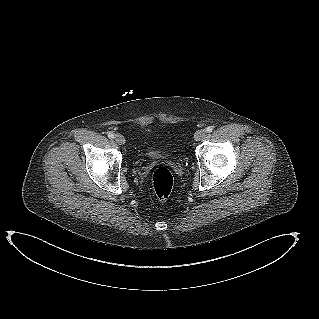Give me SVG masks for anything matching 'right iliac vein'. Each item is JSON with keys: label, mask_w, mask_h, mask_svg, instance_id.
Wrapping results in <instances>:
<instances>
[{"label": "right iliac vein", "mask_w": 319, "mask_h": 319, "mask_svg": "<svg viewBox=\"0 0 319 319\" xmlns=\"http://www.w3.org/2000/svg\"><path fill=\"white\" fill-rule=\"evenodd\" d=\"M115 141L119 144V145H123L125 144V138L124 136L120 135V134H117L115 136Z\"/></svg>", "instance_id": "63e3f726"}]
</instances>
